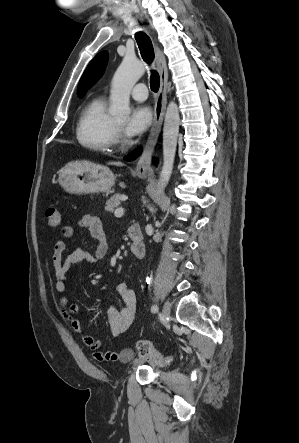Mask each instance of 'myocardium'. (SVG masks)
Returning <instances> with one entry per match:
<instances>
[{
    "instance_id": "obj_1",
    "label": "myocardium",
    "mask_w": 299,
    "mask_h": 443,
    "mask_svg": "<svg viewBox=\"0 0 299 443\" xmlns=\"http://www.w3.org/2000/svg\"><path fill=\"white\" fill-rule=\"evenodd\" d=\"M114 127L115 130L111 140V146L119 150H124L129 146V141L122 136L120 131V125L115 123Z\"/></svg>"
}]
</instances>
